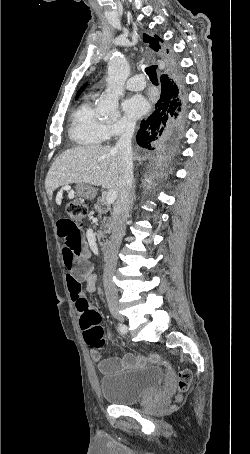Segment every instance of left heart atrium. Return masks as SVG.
Here are the masks:
<instances>
[{
  "instance_id": "obj_1",
  "label": "left heart atrium",
  "mask_w": 250,
  "mask_h": 454,
  "mask_svg": "<svg viewBox=\"0 0 250 454\" xmlns=\"http://www.w3.org/2000/svg\"><path fill=\"white\" fill-rule=\"evenodd\" d=\"M148 109V102L142 95L139 94L126 98L122 103V111L125 116L133 120L142 117L146 114Z\"/></svg>"
}]
</instances>
